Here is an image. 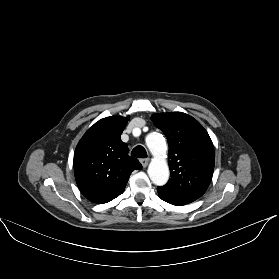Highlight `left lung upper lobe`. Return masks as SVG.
<instances>
[{
  "instance_id": "obj_1",
  "label": "left lung upper lobe",
  "mask_w": 279,
  "mask_h": 279,
  "mask_svg": "<svg viewBox=\"0 0 279 279\" xmlns=\"http://www.w3.org/2000/svg\"><path fill=\"white\" fill-rule=\"evenodd\" d=\"M151 119L169 145L171 178L157 188L158 193L186 203L197 200L207 190L214 170V147L207 131L182 112L157 113Z\"/></svg>"
}]
</instances>
